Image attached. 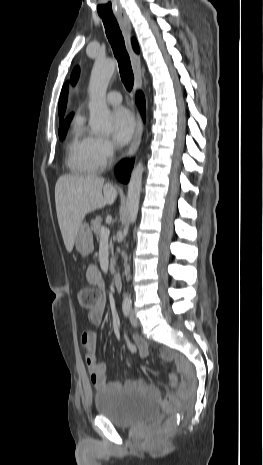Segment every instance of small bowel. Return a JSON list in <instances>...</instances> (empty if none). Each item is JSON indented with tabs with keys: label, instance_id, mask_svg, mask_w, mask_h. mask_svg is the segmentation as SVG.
I'll use <instances>...</instances> for the list:
<instances>
[{
	"label": "small bowel",
	"instance_id": "c3829d8e",
	"mask_svg": "<svg viewBox=\"0 0 263 465\" xmlns=\"http://www.w3.org/2000/svg\"><path fill=\"white\" fill-rule=\"evenodd\" d=\"M86 279L88 283L96 285L100 288H104V280L101 271L95 265H90L86 270ZM105 312V301L101 300L96 308L88 312V320L93 328H97L101 325ZM81 343L85 348V362L89 371L90 381L96 389H104L108 386L120 389L122 384L119 381H107V370L106 365L103 362H100L96 358V342L97 334L94 329H88L82 332L80 337ZM134 346L138 349L141 359H145L148 355V345L147 342L140 336H133ZM161 357L165 361L174 360L173 355L168 351H163ZM177 370L182 372L183 367L178 362L175 361ZM127 387L141 388L146 390L156 399H160V394L158 390L151 385H147L141 380H131L126 382ZM171 400L177 402V396L174 393H169L165 400Z\"/></svg>",
	"mask_w": 263,
	"mask_h": 465
}]
</instances>
